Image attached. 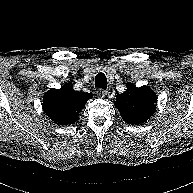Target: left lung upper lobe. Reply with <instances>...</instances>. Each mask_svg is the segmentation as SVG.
<instances>
[{"instance_id":"5c2ea615","label":"left lung upper lobe","mask_w":193,"mask_h":193,"mask_svg":"<svg viewBox=\"0 0 193 193\" xmlns=\"http://www.w3.org/2000/svg\"><path fill=\"white\" fill-rule=\"evenodd\" d=\"M156 103L157 96L151 88L128 83L127 90L116 96L114 105L126 123L137 125L154 114Z\"/></svg>"}]
</instances>
